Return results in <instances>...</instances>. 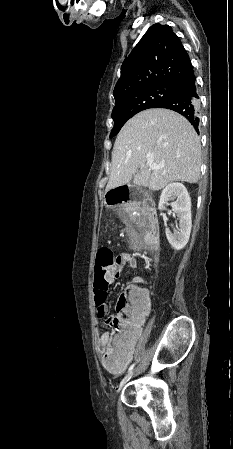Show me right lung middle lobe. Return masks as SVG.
<instances>
[{"mask_svg":"<svg viewBox=\"0 0 233 449\" xmlns=\"http://www.w3.org/2000/svg\"><path fill=\"white\" fill-rule=\"evenodd\" d=\"M174 89L170 85L160 84L149 86L116 98L112 111L114 128L110 138L114 137L128 119L138 112L154 108L161 102L174 96Z\"/></svg>","mask_w":233,"mask_h":449,"instance_id":"1","label":"right lung middle lobe"}]
</instances>
